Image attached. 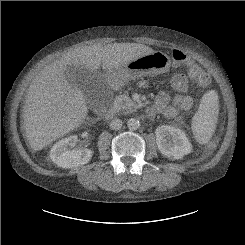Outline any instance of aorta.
Segmentation results:
<instances>
[{
    "instance_id": "762f6f07",
    "label": "aorta",
    "mask_w": 245,
    "mask_h": 245,
    "mask_svg": "<svg viewBox=\"0 0 245 245\" xmlns=\"http://www.w3.org/2000/svg\"><path fill=\"white\" fill-rule=\"evenodd\" d=\"M127 127L130 129V130H137L139 127H140V122L138 119L136 118H130L128 121H127Z\"/></svg>"
}]
</instances>
